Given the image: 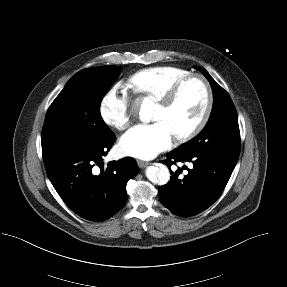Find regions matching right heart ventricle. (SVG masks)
I'll return each instance as SVG.
<instances>
[{"label":"right heart ventricle","instance_id":"e07e8e85","mask_svg":"<svg viewBox=\"0 0 287 287\" xmlns=\"http://www.w3.org/2000/svg\"><path fill=\"white\" fill-rule=\"evenodd\" d=\"M188 74V70L180 67H151L131 75L128 84L135 94L158 101L178 80Z\"/></svg>","mask_w":287,"mask_h":287}]
</instances>
